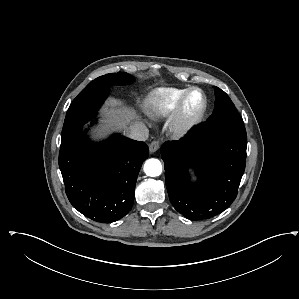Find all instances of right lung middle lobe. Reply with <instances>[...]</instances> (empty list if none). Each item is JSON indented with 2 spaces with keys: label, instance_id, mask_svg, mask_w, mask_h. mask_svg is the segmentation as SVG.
I'll list each match as a JSON object with an SVG mask.
<instances>
[{
  "label": "right lung middle lobe",
  "instance_id": "obj_1",
  "mask_svg": "<svg viewBox=\"0 0 299 299\" xmlns=\"http://www.w3.org/2000/svg\"><path fill=\"white\" fill-rule=\"evenodd\" d=\"M133 77L124 72L100 76L89 83L70 105L61 134V143L78 131L83 124L95 118L96 112L107 97L112 85H126Z\"/></svg>",
  "mask_w": 299,
  "mask_h": 299
}]
</instances>
